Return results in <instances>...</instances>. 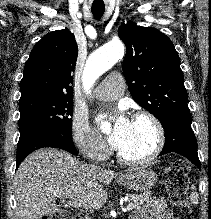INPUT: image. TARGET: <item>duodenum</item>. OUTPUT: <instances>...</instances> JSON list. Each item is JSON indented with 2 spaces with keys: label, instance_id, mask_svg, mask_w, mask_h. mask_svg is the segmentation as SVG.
Returning a JSON list of instances; mask_svg holds the SVG:
<instances>
[{
  "label": "duodenum",
  "instance_id": "obj_1",
  "mask_svg": "<svg viewBox=\"0 0 211 219\" xmlns=\"http://www.w3.org/2000/svg\"><path fill=\"white\" fill-rule=\"evenodd\" d=\"M69 219H78V218H76V217H70Z\"/></svg>",
  "mask_w": 211,
  "mask_h": 219
}]
</instances>
